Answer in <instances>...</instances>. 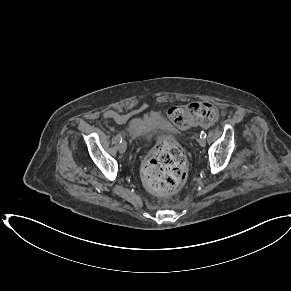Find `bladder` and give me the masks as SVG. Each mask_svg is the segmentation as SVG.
<instances>
[{
  "label": "bladder",
  "instance_id": "obj_1",
  "mask_svg": "<svg viewBox=\"0 0 291 291\" xmlns=\"http://www.w3.org/2000/svg\"><path fill=\"white\" fill-rule=\"evenodd\" d=\"M153 127L148 117L132 118L127 122V133L141 138L151 134Z\"/></svg>",
  "mask_w": 291,
  "mask_h": 291
}]
</instances>
